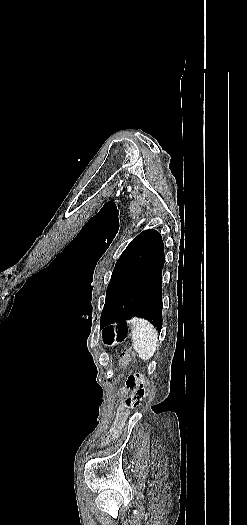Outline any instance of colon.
Wrapping results in <instances>:
<instances>
[{
  "label": "colon",
  "instance_id": "5ec220e1",
  "mask_svg": "<svg viewBox=\"0 0 247 525\" xmlns=\"http://www.w3.org/2000/svg\"><path fill=\"white\" fill-rule=\"evenodd\" d=\"M121 360L123 363H128L133 360V355L130 352H124L121 356ZM127 385L130 388L136 389V394L134 396H129L126 400L128 406L134 407L145 397V378L143 374L136 373L130 375L127 379Z\"/></svg>",
  "mask_w": 247,
  "mask_h": 525
}]
</instances>
